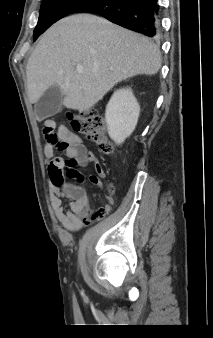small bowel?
Here are the masks:
<instances>
[{
  "instance_id": "obj_1",
  "label": "small bowel",
  "mask_w": 213,
  "mask_h": 338,
  "mask_svg": "<svg viewBox=\"0 0 213 338\" xmlns=\"http://www.w3.org/2000/svg\"><path fill=\"white\" fill-rule=\"evenodd\" d=\"M43 134L47 165L52 160H56L58 165L62 166L64 159H75L81 166L97 161L95 153L88 151L80 137L66 126L61 125L56 129V123L53 120H46L43 124ZM57 142L68 143V147L64 150V157L57 154L59 148ZM49 191L51 207L64 228L76 231L91 221V212L88 211L89 196L84 187L65 182L61 186L50 187ZM64 201L67 202L66 205ZM108 201L112 200L108 199Z\"/></svg>"
}]
</instances>
